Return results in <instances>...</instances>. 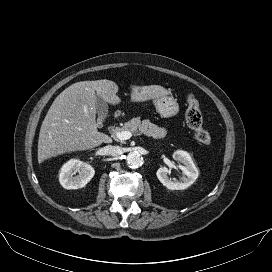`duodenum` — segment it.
Here are the masks:
<instances>
[{
  "label": "duodenum",
  "instance_id": "duodenum-1",
  "mask_svg": "<svg viewBox=\"0 0 272 272\" xmlns=\"http://www.w3.org/2000/svg\"><path fill=\"white\" fill-rule=\"evenodd\" d=\"M121 114H122L121 111H117V112L115 113V117H116V118H119V117L121 116Z\"/></svg>",
  "mask_w": 272,
  "mask_h": 272
}]
</instances>
